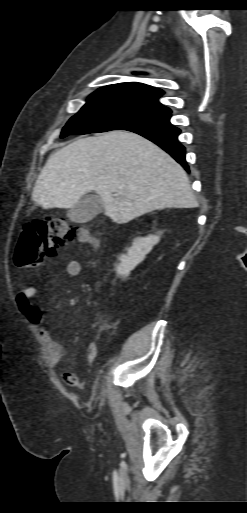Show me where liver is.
I'll return each mask as SVG.
<instances>
[{
    "mask_svg": "<svg viewBox=\"0 0 247 513\" xmlns=\"http://www.w3.org/2000/svg\"><path fill=\"white\" fill-rule=\"evenodd\" d=\"M92 191L118 224L154 210L198 206L185 170L150 140L123 130L80 138L53 153L32 200L43 209H67Z\"/></svg>",
    "mask_w": 247,
    "mask_h": 513,
    "instance_id": "liver-1",
    "label": "liver"
}]
</instances>
